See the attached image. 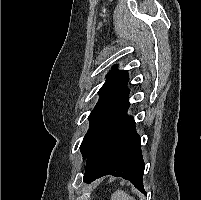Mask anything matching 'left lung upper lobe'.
Masks as SVG:
<instances>
[{"mask_svg":"<svg viewBox=\"0 0 201 200\" xmlns=\"http://www.w3.org/2000/svg\"><path fill=\"white\" fill-rule=\"evenodd\" d=\"M106 82L99 90V100L89 115V129L81 143L80 150L84 156L95 133L108 115L129 95L127 71L117 70V65L106 76Z\"/></svg>","mask_w":201,"mask_h":200,"instance_id":"5c2ea615","label":"left lung upper lobe"}]
</instances>
